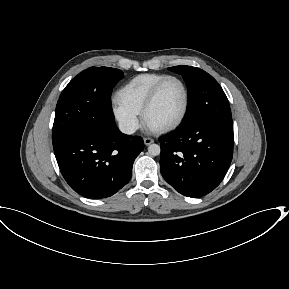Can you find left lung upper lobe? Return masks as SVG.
<instances>
[{
    "label": "left lung upper lobe",
    "instance_id": "5c2ea615",
    "mask_svg": "<svg viewBox=\"0 0 289 289\" xmlns=\"http://www.w3.org/2000/svg\"><path fill=\"white\" fill-rule=\"evenodd\" d=\"M168 69L181 74L188 87L187 112L180 126L200 120H212L232 125L227 97L211 75L199 68L186 65Z\"/></svg>",
    "mask_w": 289,
    "mask_h": 289
}]
</instances>
